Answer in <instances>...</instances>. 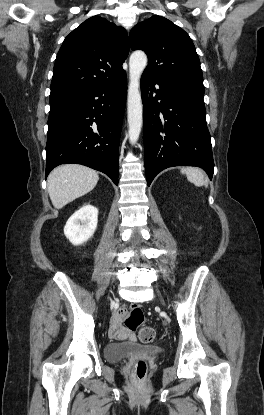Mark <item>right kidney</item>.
Returning a JSON list of instances; mask_svg holds the SVG:
<instances>
[{
  "instance_id": "1",
  "label": "right kidney",
  "mask_w": 264,
  "mask_h": 415,
  "mask_svg": "<svg viewBox=\"0 0 264 415\" xmlns=\"http://www.w3.org/2000/svg\"><path fill=\"white\" fill-rule=\"evenodd\" d=\"M97 223L98 209L87 204L68 219L64 227V234L73 245H81L93 236Z\"/></svg>"
}]
</instances>
